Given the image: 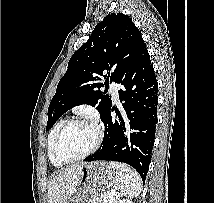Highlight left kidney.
<instances>
[{
  "label": "left kidney",
  "mask_w": 214,
  "mask_h": 203,
  "mask_svg": "<svg viewBox=\"0 0 214 203\" xmlns=\"http://www.w3.org/2000/svg\"><path fill=\"white\" fill-rule=\"evenodd\" d=\"M116 203H133L132 201H130V200H120V201H118V202H116Z\"/></svg>",
  "instance_id": "left-kidney-1"
}]
</instances>
